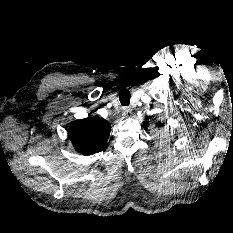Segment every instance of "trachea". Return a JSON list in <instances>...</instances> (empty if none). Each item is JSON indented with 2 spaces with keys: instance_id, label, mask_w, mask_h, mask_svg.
Returning a JSON list of instances; mask_svg holds the SVG:
<instances>
[{
  "instance_id": "trachea-1",
  "label": "trachea",
  "mask_w": 233,
  "mask_h": 233,
  "mask_svg": "<svg viewBox=\"0 0 233 233\" xmlns=\"http://www.w3.org/2000/svg\"><path fill=\"white\" fill-rule=\"evenodd\" d=\"M130 92L127 89H122L119 93V101L122 106H128L130 103Z\"/></svg>"
}]
</instances>
